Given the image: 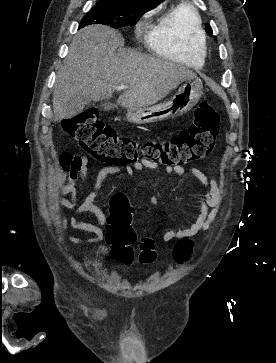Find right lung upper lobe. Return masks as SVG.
I'll list each match as a JSON object with an SVG mask.
<instances>
[{
  "mask_svg": "<svg viewBox=\"0 0 276 363\" xmlns=\"http://www.w3.org/2000/svg\"><path fill=\"white\" fill-rule=\"evenodd\" d=\"M98 1L114 2L125 5L146 4L155 7L158 4H160L163 0H98Z\"/></svg>",
  "mask_w": 276,
  "mask_h": 363,
  "instance_id": "1",
  "label": "right lung upper lobe"
}]
</instances>
